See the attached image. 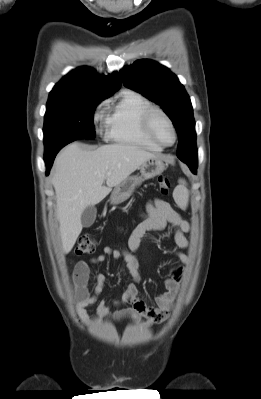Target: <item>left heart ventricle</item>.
<instances>
[{
  "instance_id": "1",
  "label": "left heart ventricle",
  "mask_w": 261,
  "mask_h": 399,
  "mask_svg": "<svg viewBox=\"0 0 261 399\" xmlns=\"http://www.w3.org/2000/svg\"><path fill=\"white\" fill-rule=\"evenodd\" d=\"M152 129L155 136L164 144H171L173 131L167 120L160 114H155L152 119Z\"/></svg>"
}]
</instances>
